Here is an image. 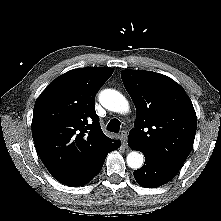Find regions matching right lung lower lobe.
Returning <instances> with one entry per match:
<instances>
[{
  "label": "right lung lower lobe",
  "mask_w": 221,
  "mask_h": 221,
  "mask_svg": "<svg viewBox=\"0 0 221 221\" xmlns=\"http://www.w3.org/2000/svg\"><path fill=\"white\" fill-rule=\"evenodd\" d=\"M120 146V142H115L112 146L101 152L96 156L90 163H88L83 169H81L77 174L62 182L68 186H81L88 183L92 178H94L101 170L105 158L109 152L116 150Z\"/></svg>",
  "instance_id": "98d812e1"
}]
</instances>
